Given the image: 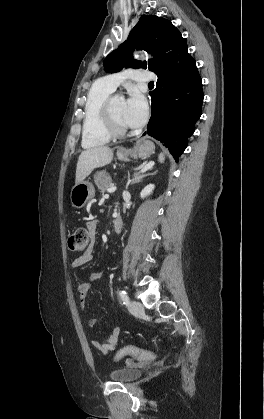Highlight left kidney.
<instances>
[{"mask_svg": "<svg viewBox=\"0 0 264 419\" xmlns=\"http://www.w3.org/2000/svg\"><path fill=\"white\" fill-rule=\"evenodd\" d=\"M154 188L155 186L153 184L145 186V188L140 193L141 198L149 196L153 192Z\"/></svg>", "mask_w": 264, "mask_h": 419, "instance_id": "5707ae66", "label": "left kidney"}]
</instances>
